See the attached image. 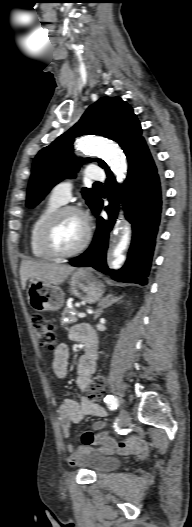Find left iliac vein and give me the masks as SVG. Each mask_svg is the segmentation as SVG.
I'll return each instance as SVG.
<instances>
[{"mask_svg":"<svg viewBox=\"0 0 192 527\" xmlns=\"http://www.w3.org/2000/svg\"><path fill=\"white\" fill-rule=\"evenodd\" d=\"M120 422L122 426H126L130 420L128 411L125 408H121L119 411Z\"/></svg>","mask_w":192,"mask_h":527,"instance_id":"1","label":"left iliac vein"}]
</instances>
